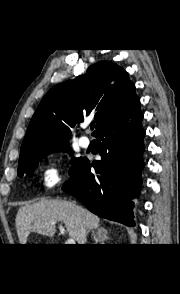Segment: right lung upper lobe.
<instances>
[{"label":"right lung upper lobe","instance_id":"cb5924a9","mask_svg":"<svg viewBox=\"0 0 180 294\" xmlns=\"http://www.w3.org/2000/svg\"><path fill=\"white\" fill-rule=\"evenodd\" d=\"M137 98L134 84L121 67L108 61L92 65L84 75L47 92L27 129L19 162L39 150L68 144L69 126L74 127L92 112H96V135Z\"/></svg>","mask_w":180,"mask_h":294}]
</instances>
